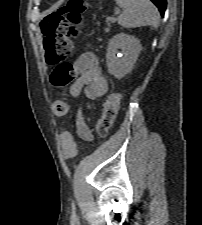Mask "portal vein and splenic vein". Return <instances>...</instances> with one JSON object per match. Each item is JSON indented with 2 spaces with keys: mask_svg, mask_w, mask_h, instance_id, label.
Segmentation results:
<instances>
[{
  "mask_svg": "<svg viewBox=\"0 0 202 225\" xmlns=\"http://www.w3.org/2000/svg\"><path fill=\"white\" fill-rule=\"evenodd\" d=\"M115 13H116V14H119V13H120V10L117 9ZM109 19H110L112 22H115V21H116V19H115L114 17H111V18H109Z\"/></svg>",
  "mask_w": 202,
  "mask_h": 225,
  "instance_id": "portal-vein-and-splenic-vein-1",
  "label": "portal vein and splenic vein"
}]
</instances>
